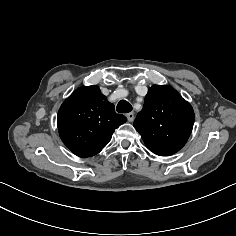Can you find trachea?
Returning a JSON list of instances; mask_svg holds the SVG:
<instances>
[{
  "label": "trachea",
  "instance_id": "obj_1",
  "mask_svg": "<svg viewBox=\"0 0 236 236\" xmlns=\"http://www.w3.org/2000/svg\"><path fill=\"white\" fill-rule=\"evenodd\" d=\"M116 110L119 113H128V112L132 111V105L129 102H127L126 100H121L117 104Z\"/></svg>",
  "mask_w": 236,
  "mask_h": 236
}]
</instances>
